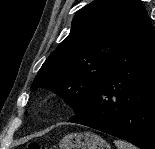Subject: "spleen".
I'll list each match as a JSON object with an SVG mask.
<instances>
[{
	"label": "spleen",
	"mask_w": 155,
	"mask_h": 149,
	"mask_svg": "<svg viewBox=\"0 0 155 149\" xmlns=\"http://www.w3.org/2000/svg\"><path fill=\"white\" fill-rule=\"evenodd\" d=\"M114 144L116 145L117 149H137L134 145L122 140H115Z\"/></svg>",
	"instance_id": "spleen-1"
}]
</instances>
